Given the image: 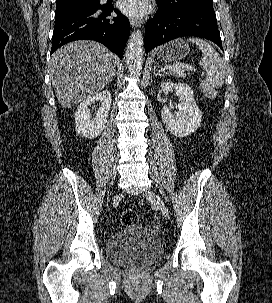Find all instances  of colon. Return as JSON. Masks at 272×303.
I'll use <instances>...</instances> for the list:
<instances>
[{
	"label": "colon",
	"instance_id": "obj_1",
	"mask_svg": "<svg viewBox=\"0 0 272 303\" xmlns=\"http://www.w3.org/2000/svg\"><path fill=\"white\" fill-rule=\"evenodd\" d=\"M138 214L132 209L125 210L121 215V222L125 226H133L138 223Z\"/></svg>",
	"mask_w": 272,
	"mask_h": 303
}]
</instances>
